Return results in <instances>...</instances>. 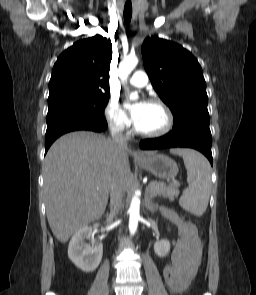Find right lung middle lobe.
I'll list each match as a JSON object with an SVG mask.
<instances>
[{"label":"right lung middle lobe","instance_id":"obj_1","mask_svg":"<svg viewBox=\"0 0 256 295\" xmlns=\"http://www.w3.org/2000/svg\"><path fill=\"white\" fill-rule=\"evenodd\" d=\"M109 95H66L48 101L47 117L55 114L104 116Z\"/></svg>","mask_w":256,"mask_h":295}]
</instances>
